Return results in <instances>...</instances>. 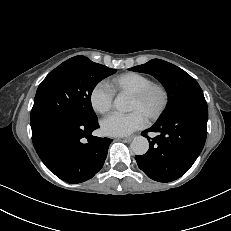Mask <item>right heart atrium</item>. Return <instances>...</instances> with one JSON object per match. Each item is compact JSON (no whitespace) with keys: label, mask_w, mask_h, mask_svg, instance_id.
<instances>
[{"label":"right heart atrium","mask_w":231,"mask_h":231,"mask_svg":"<svg viewBox=\"0 0 231 231\" xmlns=\"http://www.w3.org/2000/svg\"><path fill=\"white\" fill-rule=\"evenodd\" d=\"M113 98V91L104 82L94 85L89 95L92 109L99 114H105L111 109Z\"/></svg>","instance_id":"obj_1"}]
</instances>
